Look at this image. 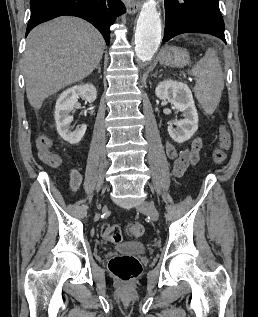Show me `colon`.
Instances as JSON below:
<instances>
[{"mask_svg": "<svg viewBox=\"0 0 258 317\" xmlns=\"http://www.w3.org/2000/svg\"><path fill=\"white\" fill-rule=\"evenodd\" d=\"M231 146V134L227 127L219 129L218 144L213 150L212 158L216 164H221L227 158V151ZM40 160L49 165L57 166L60 163V156L54 151H41ZM125 233L130 238H140L144 235L145 229L138 222H131L126 225ZM102 236L113 243H119L123 239V228L118 224H105L101 230ZM110 273L120 282L129 283L137 279L142 271L139 260L133 256L115 255L108 264Z\"/></svg>", "mask_w": 258, "mask_h": 317, "instance_id": "1", "label": "colon"}]
</instances>
